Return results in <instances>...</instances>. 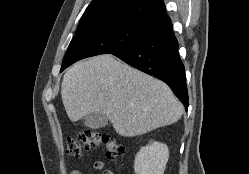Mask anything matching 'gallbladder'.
Segmentation results:
<instances>
[{"instance_id": "bac80fb5", "label": "gallbladder", "mask_w": 249, "mask_h": 174, "mask_svg": "<svg viewBox=\"0 0 249 174\" xmlns=\"http://www.w3.org/2000/svg\"><path fill=\"white\" fill-rule=\"evenodd\" d=\"M84 125L92 129H99L108 123V118L102 113H90L84 117Z\"/></svg>"}]
</instances>
